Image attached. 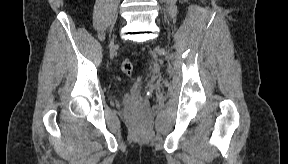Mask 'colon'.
Returning a JSON list of instances; mask_svg holds the SVG:
<instances>
[{
    "mask_svg": "<svg viewBox=\"0 0 288 164\" xmlns=\"http://www.w3.org/2000/svg\"><path fill=\"white\" fill-rule=\"evenodd\" d=\"M133 69H134V65L132 63L131 60H124L121 62V70L127 75V76H130L132 75V72H133Z\"/></svg>",
    "mask_w": 288,
    "mask_h": 164,
    "instance_id": "1",
    "label": "colon"
}]
</instances>
